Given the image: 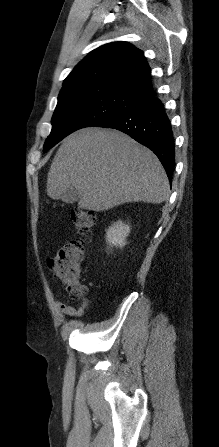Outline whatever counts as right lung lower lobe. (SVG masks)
Here are the masks:
<instances>
[{"label":"right lung lower lobe","mask_w":219,"mask_h":447,"mask_svg":"<svg viewBox=\"0 0 219 447\" xmlns=\"http://www.w3.org/2000/svg\"><path fill=\"white\" fill-rule=\"evenodd\" d=\"M120 130L152 150L169 179L174 170V138L170 120L160 99L153 96L97 125Z\"/></svg>","instance_id":"right-lung-lower-lobe-1"}]
</instances>
